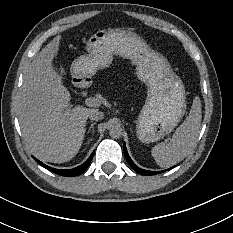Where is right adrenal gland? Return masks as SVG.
<instances>
[{"label": "right adrenal gland", "instance_id": "right-adrenal-gland-1", "mask_svg": "<svg viewBox=\"0 0 233 233\" xmlns=\"http://www.w3.org/2000/svg\"><path fill=\"white\" fill-rule=\"evenodd\" d=\"M96 123H97V121L91 123L90 126L88 127V131H90L91 128L94 129V125H95Z\"/></svg>", "mask_w": 233, "mask_h": 233}]
</instances>
